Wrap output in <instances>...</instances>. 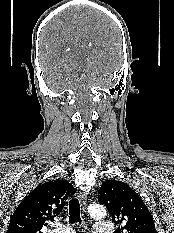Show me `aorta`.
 <instances>
[{
    "instance_id": "1",
    "label": "aorta",
    "mask_w": 174,
    "mask_h": 233,
    "mask_svg": "<svg viewBox=\"0 0 174 233\" xmlns=\"http://www.w3.org/2000/svg\"><path fill=\"white\" fill-rule=\"evenodd\" d=\"M88 212L93 218L102 219L106 216V209L103 205L100 204L90 205Z\"/></svg>"
}]
</instances>
